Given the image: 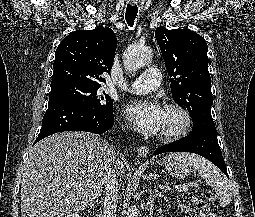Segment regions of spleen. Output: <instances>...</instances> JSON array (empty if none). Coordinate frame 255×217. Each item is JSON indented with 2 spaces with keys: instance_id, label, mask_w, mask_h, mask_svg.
<instances>
[{
  "instance_id": "3e777b00",
  "label": "spleen",
  "mask_w": 255,
  "mask_h": 217,
  "mask_svg": "<svg viewBox=\"0 0 255 217\" xmlns=\"http://www.w3.org/2000/svg\"><path fill=\"white\" fill-rule=\"evenodd\" d=\"M176 159L190 166L210 185L220 197V205L225 207L232 200V185L228 179L205 158L189 153H171L168 159Z\"/></svg>"
}]
</instances>
